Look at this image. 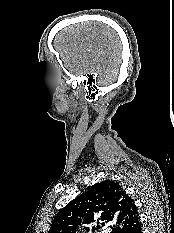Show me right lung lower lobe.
I'll list each match as a JSON object with an SVG mask.
<instances>
[{
  "instance_id": "obj_1",
  "label": "right lung lower lobe",
  "mask_w": 174,
  "mask_h": 233,
  "mask_svg": "<svg viewBox=\"0 0 174 233\" xmlns=\"http://www.w3.org/2000/svg\"><path fill=\"white\" fill-rule=\"evenodd\" d=\"M133 233H142V225L139 226Z\"/></svg>"
}]
</instances>
